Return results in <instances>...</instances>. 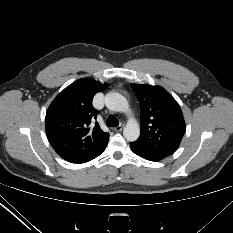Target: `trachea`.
Masks as SVG:
<instances>
[{
  "instance_id": "obj_1",
  "label": "trachea",
  "mask_w": 233,
  "mask_h": 233,
  "mask_svg": "<svg viewBox=\"0 0 233 233\" xmlns=\"http://www.w3.org/2000/svg\"><path fill=\"white\" fill-rule=\"evenodd\" d=\"M108 127H117L119 125L118 119L114 115H110L106 120Z\"/></svg>"
}]
</instances>
